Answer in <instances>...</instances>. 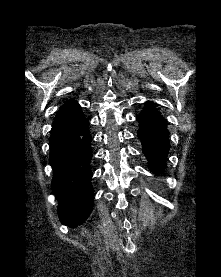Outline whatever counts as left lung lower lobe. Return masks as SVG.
I'll use <instances>...</instances> for the list:
<instances>
[{"label":"left lung lower lobe","mask_w":221,"mask_h":277,"mask_svg":"<svg viewBox=\"0 0 221 277\" xmlns=\"http://www.w3.org/2000/svg\"><path fill=\"white\" fill-rule=\"evenodd\" d=\"M140 124L138 137L142 151L153 173H162L166 167L169 151V137L166 122L152 102H146L145 109L137 116Z\"/></svg>","instance_id":"obj_1"}]
</instances>
